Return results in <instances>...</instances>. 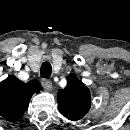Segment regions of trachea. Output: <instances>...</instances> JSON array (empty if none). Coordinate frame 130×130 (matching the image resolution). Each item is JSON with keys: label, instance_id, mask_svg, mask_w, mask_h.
<instances>
[{"label": "trachea", "instance_id": "trachea-1", "mask_svg": "<svg viewBox=\"0 0 130 130\" xmlns=\"http://www.w3.org/2000/svg\"><path fill=\"white\" fill-rule=\"evenodd\" d=\"M51 73H52L51 64L49 62L45 61L40 68V75H41V77L48 79V78H50Z\"/></svg>", "mask_w": 130, "mask_h": 130}]
</instances>
